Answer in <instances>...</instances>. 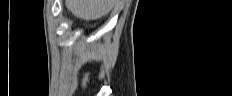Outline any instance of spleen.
I'll return each instance as SVG.
<instances>
[{
	"label": "spleen",
	"instance_id": "obj_1",
	"mask_svg": "<svg viewBox=\"0 0 232 96\" xmlns=\"http://www.w3.org/2000/svg\"><path fill=\"white\" fill-rule=\"evenodd\" d=\"M66 7L76 17L95 20L111 11L113 0H66Z\"/></svg>",
	"mask_w": 232,
	"mask_h": 96
}]
</instances>
